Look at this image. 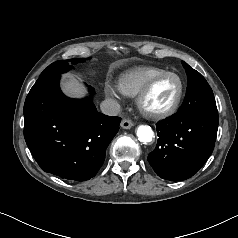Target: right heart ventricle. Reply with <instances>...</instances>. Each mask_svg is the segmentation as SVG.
Segmentation results:
<instances>
[{"label": "right heart ventricle", "mask_w": 238, "mask_h": 238, "mask_svg": "<svg viewBox=\"0 0 238 238\" xmlns=\"http://www.w3.org/2000/svg\"><path fill=\"white\" fill-rule=\"evenodd\" d=\"M164 69L153 66H142L122 73L118 78V86L128 97H137L146 84Z\"/></svg>", "instance_id": "1"}]
</instances>
